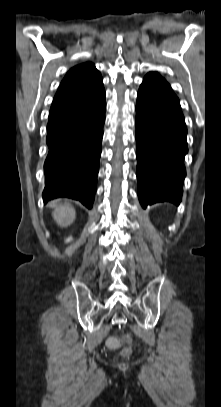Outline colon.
<instances>
[{
  "mask_svg": "<svg viewBox=\"0 0 221 407\" xmlns=\"http://www.w3.org/2000/svg\"><path fill=\"white\" fill-rule=\"evenodd\" d=\"M121 343L124 344V347L121 350V355L122 356H129L131 354V351H132V348H131L132 339L129 336H125L121 340H119L117 338H110L107 341V346L110 349H116V348L119 347V345Z\"/></svg>",
  "mask_w": 221,
  "mask_h": 407,
  "instance_id": "5ec220e1",
  "label": "colon"
}]
</instances>
